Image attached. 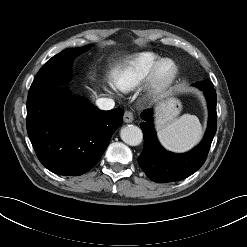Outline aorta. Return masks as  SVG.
Here are the masks:
<instances>
[{
    "mask_svg": "<svg viewBox=\"0 0 247 247\" xmlns=\"http://www.w3.org/2000/svg\"><path fill=\"white\" fill-rule=\"evenodd\" d=\"M120 137L123 142L130 146H137L143 140V134L139 127L135 125H128L121 129Z\"/></svg>",
    "mask_w": 247,
    "mask_h": 247,
    "instance_id": "obj_1",
    "label": "aorta"
}]
</instances>
